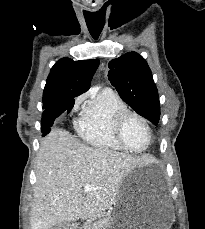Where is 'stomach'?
<instances>
[{
    "instance_id": "1",
    "label": "stomach",
    "mask_w": 205,
    "mask_h": 229,
    "mask_svg": "<svg viewBox=\"0 0 205 229\" xmlns=\"http://www.w3.org/2000/svg\"><path fill=\"white\" fill-rule=\"evenodd\" d=\"M173 221L174 210L168 201L140 194L127 178L106 229H170Z\"/></svg>"
}]
</instances>
